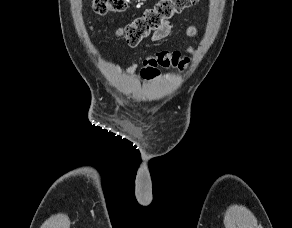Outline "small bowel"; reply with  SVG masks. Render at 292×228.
<instances>
[{
	"mask_svg": "<svg viewBox=\"0 0 292 228\" xmlns=\"http://www.w3.org/2000/svg\"><path fill=\"white\" fill-rule=\"evenodd\" d=\"M170 24L167 22H165L157 31H155L152 35V40L154 42H160L161 40H163L164 38H166L168 36V34L170 33ZM187 34L191 37H194L196 34H197V31L196 29L193 27V26H190L188 29H187ZM178 54H180L181 56V53L176 51ZM186 53L188 54H192L193 53V48H188L186 50ZM185 62H186V65H187V62H188V59L187 58H184ZM138 69V65L137 64H134L132 65L131 67H129L127 69V72L129 74H134Z\"/></svg>",
	"mask_w": 292,
	"mask_h": 228,
	"instance_id": "small-bowel-1",
	"label": "small bowel"
}]
</instances>
